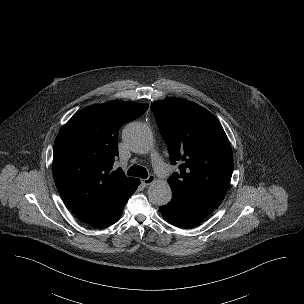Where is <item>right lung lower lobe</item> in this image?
I'll return each instance as SVG.
<instances>
[{
  "mask_svg": "<svg viewBox=\"0 0 304 304\" xmlns=\"http://www.w3.org/2000/svg\"><path fill=\"white\" fill-rule=\"evenodd\" d=\"M139 184L140 180L135 178V181L132 182L103 213L88 223L95 227H107L116 223L123 212L125 204Z\"/></svg>",
  "mask_w": 304,
  "mask_h": 304,
  "instance_id": "1",
  "label": "right lung lower lobe"
}]
</instances>
